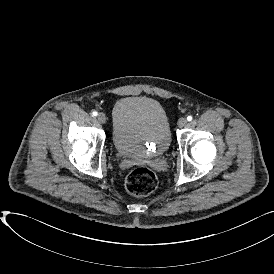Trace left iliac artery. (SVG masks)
Here are the masks:
<instances>
[{
	"label": "left iliac artery",
	"mask_w": 274,
	"mask_h": 274,
	"mask_svg": "<svg viewBox=\"0 0 274 274\" xmlns=\"http://www.w3.org/2000/svg\"><path fill=\"white\" fill-rule=\"evenodd\" d=\"M192 119H193L192 116H188V117H187V120H188V121H191Z\"/></svg>",
	"instance_id": "1"
}]
</instances>
